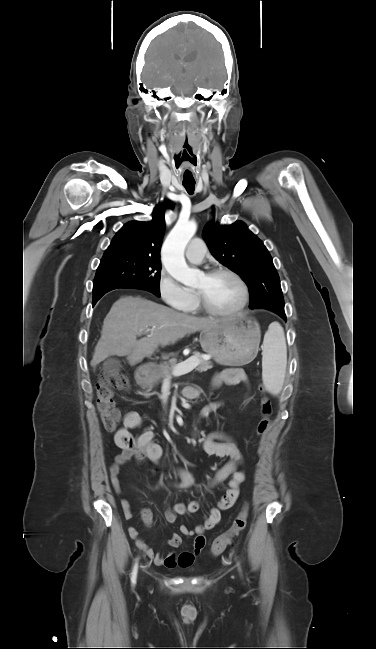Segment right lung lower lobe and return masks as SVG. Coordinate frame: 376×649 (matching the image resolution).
Wrapping results in <instances>:
<instances>
[{"label": "right lung lower lobe", "mask_w": 376, "mask_h": 649, "mask_svg": "<svg viewBox=\"0 0 376 649\" xmlns=\"http://www.w3.org/2000/svg\"><path fill=\"white\" fill-rule=\"evenodd\" d=\"M111 290H113V288L104 289V290L100 291L98 294H96L95 297L93 298V305H95V303H96V302H97V301H98V300H99V299H100V298H101L105 293H107V292H109V291H111Z\"/></svg>", "instance_id": "1"}]
</instances>
